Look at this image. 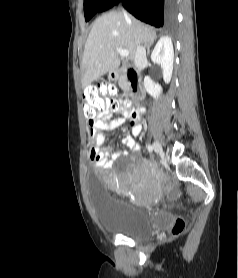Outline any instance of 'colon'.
Wrapping results in <instances>:
<instances>
[{
    "label": "colon",
    "instance_id": "1",
    "mask_svg": "<svg viewBox=\"0 0 238 278\" xmlns=\"http://www.w3.org/2000/svg\"><path fill=\"white\" fill-rule=\"evenodd\" d=\"M115 89L112 86H103L100 88L87 89L83 94V112L87 118L89 125L92 126L97 116L104 111H116L118 103L114 98ZM123 107L126 110L132 109L130 101L123 102ZM86 138L93 139L91 129H86ZM93 145V142H90ZM185 229V222L182 219H177L171 229L174 236L180 235Z\"/></svg>",
    "mask_w": 238,
    "mask_h": 278
}]
</instances>
